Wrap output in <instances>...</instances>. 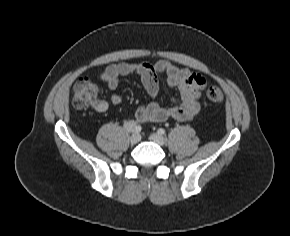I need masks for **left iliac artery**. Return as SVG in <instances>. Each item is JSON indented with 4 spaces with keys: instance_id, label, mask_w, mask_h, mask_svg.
<instances>
[{
    "instance_id": "left-iliac-artery-1",
    "label": "left iliac artery",
    "mask_w": 290,
    "mask_h": 236,
    "mask_svg": "<svg viewBox=\"0 0 290 236\" xmlns=\"http://www.w3.org/2000/svg\"><path fill=\"white\" fill-rule=\"evenodd\" d=\"M158 133L161 135H164L166 132H165V129L160 128V129H158Z\"/></svg>"
}]
</instances>
